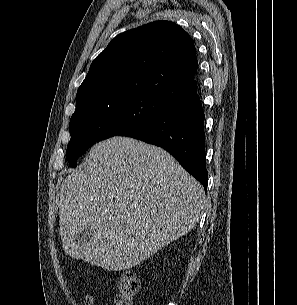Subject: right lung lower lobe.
<instances>
[{"label": "right lung lower lobe", "mask_w": 297, "mask_h": 305, "mask_svg": "<svg viewBox=\"0 0 297 305\" xmlns=\"http://www.w3.org/2000/svg\"><path fill=\"white\" fill-rule=\"evenodd\" d=\"M204 112L197 90L171 101L145 122L119 136L159 146L173 155L205 188L208 183L205 157Z\"/></svg>", "instance_id": "98d812e1"}]
</instances>
